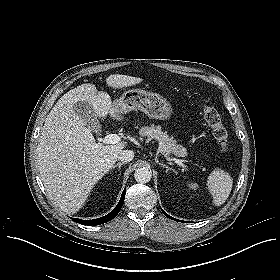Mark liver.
<instances>
[{"label": "liver", "mask_w": 280, "mask_h": 280, "mask_svg": "<svg viewBox=\"0 0 280 280\" xmlns=\"http://www.w3.org/2000/svg\"><path fill=\"white\" fill-rule=\"evenodd\" d=\"M141 78L113 74L109 87L123 88L141 83ZM85 101L96 116L121 121L126 109L94 84L85 83L64 94L45 119L37 147V167L49 198L67 214L76 213L87 200L93 186L115 164L126 142L96 144L91 130L73 110Z\"/></svg>", "instance_id": "liver-1"}]
</instances>
